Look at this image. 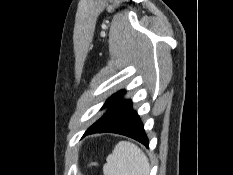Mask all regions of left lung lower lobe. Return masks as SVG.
I'll return each instance as SVG.
<instances>
[{"instance_id":"0a47b994","label":"left lung lower lobe","mask_w":233,"mask_h":175,"mask_svg":"<svg viewBox=\"0 0 233 175\" xmlns=\"http://www.w3.org/2000/svg\"><path fill=\"white\" fill-rule=\"evenodd\" d=\"M103 132L122 134L141 142L146 147L149 145L143 124L137 112L132 109L131 100L118 99L107 113L88 128L84 136Z\"/></svg>"}]
</instances>
